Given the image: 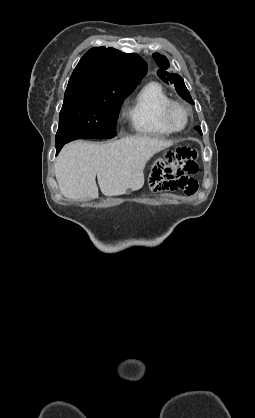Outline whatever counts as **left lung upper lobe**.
<instances>
[{
    "instance_id": "1",
    "label": "left lung upper lobe",
    "mask_w": 255,
    "mask_h": 418,
    "mask_svg": "<svg viewBox=\"0 0 255 418\" xmlns=\"http://www.w3.org/2000/svg\"><path fill=\"white\" fill-rule=\"evenodd\" d=\"M153 58L155 60V62L157 63V65L159 66L160 70L157 71L158 76L167 84H171L173 86H175L177 93L187 102L194 104L189 91L187 90L184 81L182 79L181 76H179L178 74H171L169 72L166 71V69L169 68V61L166 59L165 56L160 55L159 53H154ZM196 130H198L200 133L201 132V128L197 127L195 128Z\"/></svg>"
}]
</instances>
